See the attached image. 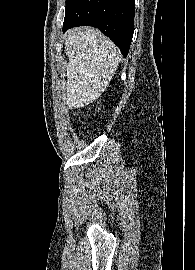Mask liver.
<instances>
[{
  "label": "liver",
  "instance_id": "6515ba94",
  "mask_svg": "<svg viewBox=\"0 0 195 270\" xmlns=\"http://www.w3.org/2000/svg\"><path fill=\"white\" fill-rule=\"evenodd\" d=\"M66 99L69 108L84 107L106 90L116 73L121 55L113 42L92 27L66 33Z\"/></svg>",
  "mask_w": 195,
  "mask_h": 270
}]
</instances>
